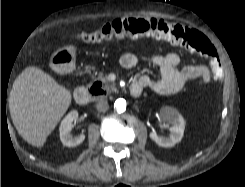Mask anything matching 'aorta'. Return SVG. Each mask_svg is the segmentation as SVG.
<instances>
[{"label":"aorta","instance_id":"aorta-1","mask_svg":"<svg viewBox=\"0 0 245 187\" xmlns=\"http://www.w3.org/2000/svg\"><path fill=\"white\" fill-rule=\"evenodd\" d=\"M114 108L118 112H124L126 110V101L122 98H119L114 103Z\"/></svg>","mask_w":245,"mask_h":187}]
</instances>
